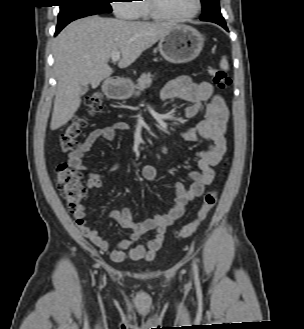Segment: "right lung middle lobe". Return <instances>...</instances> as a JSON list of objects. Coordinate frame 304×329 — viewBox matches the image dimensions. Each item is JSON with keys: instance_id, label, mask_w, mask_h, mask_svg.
Instances as JSON below:
<instances>
[{"instance_id": "right-lung-middle-lobe-1", "label": "right lung middle lobe", "mask_w": 304, "mask_h": 329, "mask_svg": "<svg viewBox=\"0 0 304 329\" xmlns=\"http://www.w3.org/2000/svg\"><path fill=\"white\" fill-rule=\"evenodd\" d=\"M57 27L66 26L76 19L99 13H110V0H59Z\"/></svg>"}]
</instances>
